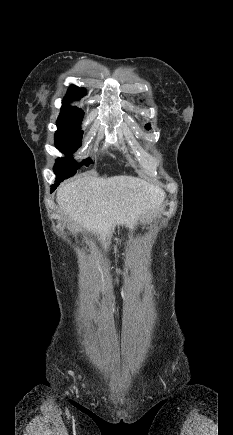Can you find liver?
Returning a JSON list of instances; mask_svg holds the SVG:
<instances>
[{"label": "liver", "instance_id": "obj_1", "mask_svg": "<svg viewBox=\"0 0 233 435\" xmlns=\"http://www.w3.org/2000/svg\"><path fill=\"white\" fill-rule=\"evenodd\" d=\"M165 192L159 186L131 176H85L62 185L56 201L62 212L80 228L100 235L107 250L116 226L134 230L138 220L157 211Z\"/></svg>", "mask_w": 233, "mask_h": 435}]
</instances>
